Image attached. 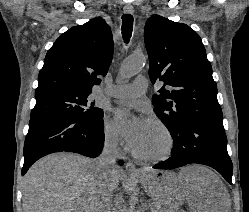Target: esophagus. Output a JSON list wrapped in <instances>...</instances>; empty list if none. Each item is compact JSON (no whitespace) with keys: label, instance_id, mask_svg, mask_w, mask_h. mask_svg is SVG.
Listing matches in <instances>:
<instances>
[{"label":"esophagus","instance_id":"obj_1","mask_svg":"<svg viewBox=\"0 0 249 212\" xmlns=\"http://www.w3.org/2000/svg\"><path fill=\"white\" fill-rule=\"evenodd\" d=\"M123 11L125 14L134 13L133 7H124ZM125 171L129 175H142V172H139V170L136 169L135 165L131 161L126 163Z\"/></svg>","mask_w":249,"mask_h":212}]
</instances>
